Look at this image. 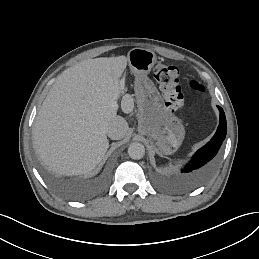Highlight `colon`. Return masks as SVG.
I'll list each match as a JSON object with an SVG mask.
<instances>
[{
  "label": "colon",
  "instance_id": "colon-1",
  "mask_svg": "<svg viewBox=\"0 0 259 259\" xmlns=\"http://www.w3.org/2000/svg\"><path fill=\"white\" fill-rule=\"evenodd\" d=\"M152 74L165 100L166 107L173 113L183 109L185 99L179 83L178 69L173 65L157 63L153 67ZM188 88L199 94L205 92L204 85L195 79L188 82Z\"/></svg>",
  "mask_w": 259,
  "mask_h": 259
}]
</instances>
